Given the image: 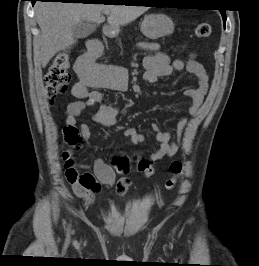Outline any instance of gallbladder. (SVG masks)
<instances>
[{
	"label": "gallbladder",
	"instance_id": "1",
	"mask_svg": "<svg viewBox=\"0 0 259 266\" xmlns=\"http://www.w3.org/2000/svg\"><path fill=\"white\" fill-rule=\"evenodd\" d=\"M95 29L96 25L94 23L82 21L73 27L72 32L76 38H85L92 34Z\"/></svg>",
	"mask_w": 259,
	"mask_h": 266
}]
</instances>
